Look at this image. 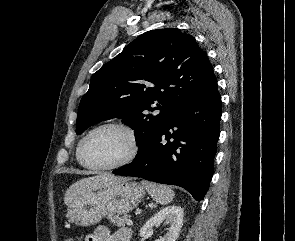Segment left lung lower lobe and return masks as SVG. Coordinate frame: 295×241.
<instances>
[{
    "label": "left lung lower lobe",
    "instance_id": "obj_1",
    "mask_svg": "<svg viewBox=\"0 0 295 241\" xmlns=\"http://www.w3.org/2000/svg\"><path fill=\"white\" fill-rule=\"evenodd\" d=\"M221 115L215 81L175 110L130 164L112 173L180 186L195 200L203 199L213 175Z\"/></svg>",
    "mask_w": 295,
    "mask_h": 241
}]
</instances>
